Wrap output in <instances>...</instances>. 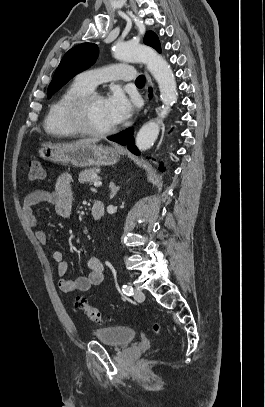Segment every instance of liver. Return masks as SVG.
Wrapping results in <instances>:
<instances>
[{"label":"liver","instance_id":"obj_1","mask_svg":"<svg viewBox=\"0 0 265 407\" xmlns=\"http://www.w3.org/2000/svg\"><path fill=\"white\" fill-rule=\"evenodd\" d=\"M95 142H97V140H95V139H83V140L77 141L76 143L87 144V143H95Z\"/></svg>","mask_w":265,"mask_h":407}]
</instances>
